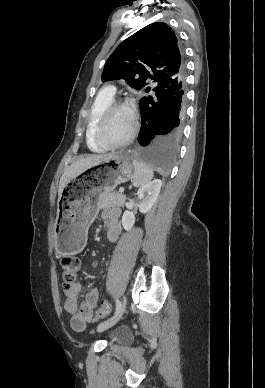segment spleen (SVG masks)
Here are the masks:
<instances>
[{
  "label": "spleen",
  "instance_id": "1",
  "mask_svg": "<svg viewBox=\"0 0 265 388\" xmlns=\"http://www.w3.org/2000/svg\"><path fill=\"white\" fill-rule=\"evenodd\" d=\"M134 168V176H133V186L135 188H140V186H144L147 182H150L152 178H154L153 170H150L149 166H146L144 162H138V160H133L132 162Z\"/></svg>",
  "mask_w": 265,
  "mask_h": 388
}]
</instances>
